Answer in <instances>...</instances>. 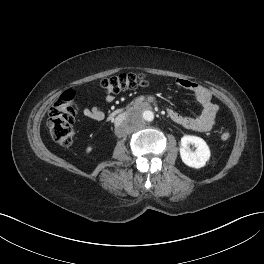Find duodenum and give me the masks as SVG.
<instances>
[{"label":"duodenum","mask_w":264,"mask_h":264,"mask_svg":"<svg viewBox=\"0 0 264 264\" xmlns=\"http://www.w3.org/2000/svg\"><path fill=\"white\" fill-rule=\"evenodd\" d=\"M153 105V100H150L149 98H145L143 100H139L137 103H136V106H137V109L139 110H145V109H148V108H151ZM126 112L124 111H121V110H115L111 113V117L114 118L116 116H126Z\"/></svg>","instance_id":"1"}]
</instances>
